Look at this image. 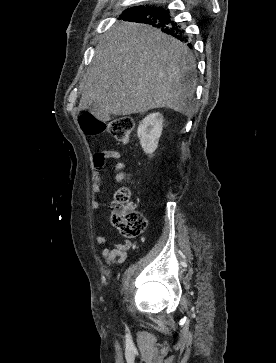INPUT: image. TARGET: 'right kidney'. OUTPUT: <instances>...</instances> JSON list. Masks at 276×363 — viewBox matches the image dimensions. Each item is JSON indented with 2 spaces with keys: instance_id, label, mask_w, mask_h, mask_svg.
<instances>
[{
  "instance_id": "obj_1",
  "label": "right kidney",
  "mask_w": 276,
  "mask_h": 363,
  "mask_svg": "<svg viewBox=\"0 0 276 363\" xmlns=\"http://www.w3.org/2000/svg\"><path fill=\"white\" fill-rule=\"evenodd\" d=\"M163 121V116L160 113H152L140 122L137 134L146 154L151 155L157 149L162 134Z\"/></svg>"
}]
</instances>
